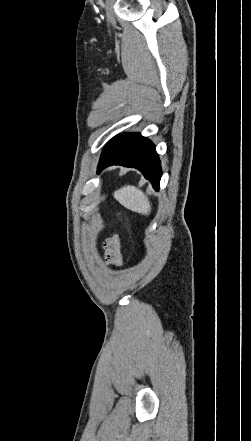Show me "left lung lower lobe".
Instances as JSON below:
<instances>
[{
	"instance_id": "1",
	"label": "left lung lower lobe",
	"mask_w": 251,
	"mask_h": 441,
	"mask_svg": "<svg viewBox=\"0 0 251 441\" xmlns=\"http://www.w3.org/2000/svg\"><path fill=\"white\" fill-rule=\"evenodd\" d=\"M110 165H122L140 170L158 190L162 170L154 144L138 133L123 134L112 138L105 146L98 173Z\"/></svg>"
}]
</instances>
